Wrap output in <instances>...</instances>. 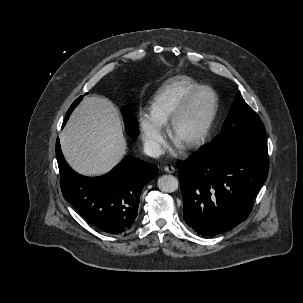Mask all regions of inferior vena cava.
I'll return each mask as SVG.
<instances>
[{
    "mask_svg": "<svg viewBox=\"0 0 303 303\" xmlns=\"http://www.w3.org/2000/svg\"><path fill=\"white\" fill-rule=\"evenodd\" d=\"M144 153L150 157H159L163 154L160 144L155 141H146L144 143Z\"/></svg>",
    "mask_w": 303,
    "mask_h": 303,
    "instance_id": "1",
    "label": "inferior vena cava"
}]
</instances>
